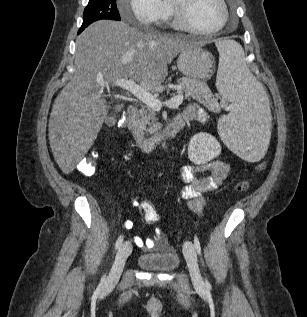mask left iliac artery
<instances>
[{"mask_svg":"<svg viewBox=\"0 0 307 317\" xmlns=\"http://www.w3.org/2000/svg\"><path fill=\"white\" fill-rule=\"evenodd\" d=\"M194 245H195L197 253L200 254L201 253V246H200V242H199V240H198V238L196 236L194 237ZM206 287L207 288L211 287V285L208 282V280H206Z\"/></svg>","mask_w":307,"mask_h":317,"instance_id":"1","label":"left iliac artery"}]
</instances>
